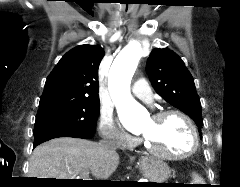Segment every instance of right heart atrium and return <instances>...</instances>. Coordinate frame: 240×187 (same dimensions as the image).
I'll return each mask as SVG.
<instances>
[{"instance_id":"right-heart-atrium-1","label":"right heart atrium","mask_w":240,"mask_h":187,"mask_svg":"<svg viewBox=\"0 0 240 187\" xmlns=\"http://www.w3.org/2000/svg\"><path fill=\"white\" fill-rule=\"evenodd\" d=\"M99 133L103 142L116 147H129L136 141L122 133L110 113H102L99 120Z\"/></svg>"}]
</instances>
